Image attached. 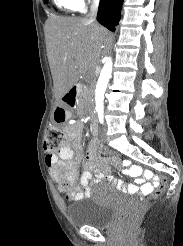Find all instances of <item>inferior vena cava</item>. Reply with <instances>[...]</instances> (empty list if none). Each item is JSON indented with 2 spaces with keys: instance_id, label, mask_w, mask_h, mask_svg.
<instances>
[{
  "instance_id": "obj_1",
  "label": "inferior vena cava",
  "mask_w": 183,
  "mask_h": 246,
  "mask_svg": "<svg viewBox=\"0 0 183 246\" xmlns=\"http://www.w3.org/2000/svg\"><path fill=\"white\" fill-rule=\"evenodd\" d=\"M99 0H93L90 7V12L87 14V20L90 23L96 24V17L98 12Z\"/></svg>"
}]
</instances>
